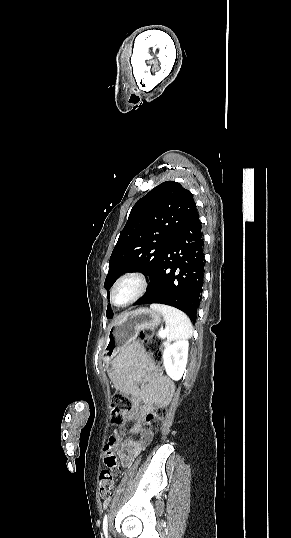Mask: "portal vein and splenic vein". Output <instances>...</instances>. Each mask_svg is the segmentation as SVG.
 <instances>
[{"label": "portal vein and splenic vein", "instance_id": "portal-vein-and-splenic-vein-1", "mask_svg": "<svg viewBox=\"0 0 291 538\" xmlns=\"http://www.w3.org/2000/svg\"><path fill=\"white\" fill-rule=\"evenodd\" d=\"M166 334H167L166 331H160V332H159V336H160L161 338H164V337L166 336Z\"/></svg>", "mask_w": 291, "mask_h": 538}]
</instances>
